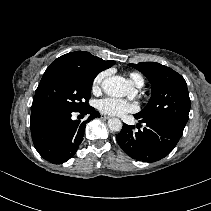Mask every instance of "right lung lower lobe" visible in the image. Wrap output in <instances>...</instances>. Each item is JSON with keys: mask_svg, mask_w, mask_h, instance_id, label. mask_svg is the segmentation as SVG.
Here are the masks:
<instances>
[{"mask_svg": "<svg viewBox=\"0 0 211 211\" xmlns=\"http://www.w3.org/2000/svg\"><path fill=\"white\" fill-rule=\"evenodd\" d=\"M88 114L86 121L72 120L73 112L45 111L31 113V134L38 153L47 161L62 164L76 153L83 140L85 125L93 117H100L93 107L78 111Z\"/></svg>", "mask_w": 211, "mask_h": 211, "instance_id": "right-lung-lower-lobe-1", "label": "right lung lower lobe"}]
</instances>
